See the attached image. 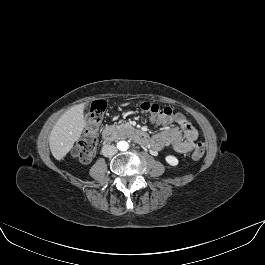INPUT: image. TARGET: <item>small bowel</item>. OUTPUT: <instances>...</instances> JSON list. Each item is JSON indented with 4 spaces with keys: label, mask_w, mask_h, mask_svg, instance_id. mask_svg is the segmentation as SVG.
Instances as JSON below:
<instances>
[{
    "label": "small bowel",
    "mask_w": 265,
    "mask_h": 265,
    "mask_svg": "<svg viewBox=\"0 0 265 265\" xmlns=\"http://www.w3.org/2000/svg\"><path fill=\"white\" fill-rule=\"evenodd\" d=\"M151 122L162 125L165 129L156 134L151 139V146L159 151L165 147H172L178 153H189L202 144L198 142V133L196 129L184 118H158L151 116ZM177 124V127H172Z\"/></svg>",
    "instance_id": "small-bowel-1"
}]
</instances>
